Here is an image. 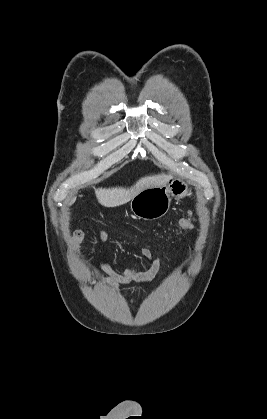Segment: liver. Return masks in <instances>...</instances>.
Here are the masks:
<instances>
[{"label": "liver", "mask_w": 267, "mask_h": 419, "mask_svg": "<svg viewBox=\"0 0 267 419\" xmlns=\"http://www.w3.org/2000/svg\"><path fill=\"white\" fill-rule=\"evenodd\" d=\"M169 177L165 174L150 175L139 179L130 188L116 187L96 190V196L100 204L105 206H120L129 202L134 196L144 189L163 185ZM75 202V198L70 205Z\"/></svg>", "instance_id": "6515ba94"}]
</instances>
